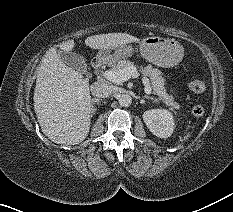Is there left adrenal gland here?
I'll return each instance as SVG.
<instances>
[{
  "instance_id": "left-adrenal-gland-1",
  "label": "left adrenal gland",
  "mask_w": 233,
  "mask_h": 212,
  "mask_svg": "<svg viewBox=\"0 0 233 212\" xmlns=\"http://www.w3.org/2000/svg\"><path fill=\"white\" fill-rule=\"evenodd\" d=\"M144 98L153 100L154 102H158V100L156 98L150 97L148 95H145Z\"/></svg>"
}]
</instances>
